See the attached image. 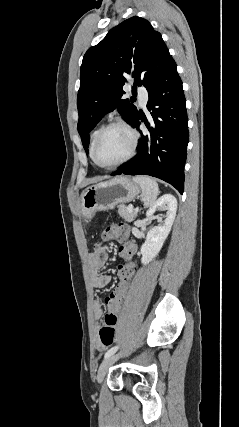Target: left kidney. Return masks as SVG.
Segmentation results:
<instances>
[{
  "label": "left kidney",
  "mask_w": 239,
  "mask_h": 427,
  "mask_svg": "<svg viewBox=\"0 0 239 427\" xmlns=\"http://www.w3.org/2000/svg\"><path fill=\"white\" fill-rule=\"evenodd\" d=\"M157 210H166L163 223L152 228L146 236L145 243L141 247L142 264L146 265L160 252L175 220L177 200L171 194L161 196L147 211L146 216L152 217Z\"/></svg>",
  "instance_id": "5707ae66"
}]
</instances>
